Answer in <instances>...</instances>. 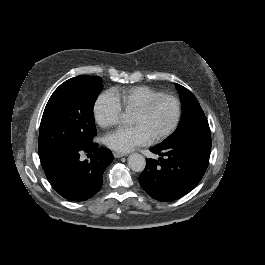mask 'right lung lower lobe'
<instances>
[{
    "mask_svg": "<svg viewBox=\"0 0 265 265\" xmlns=\"http://www.w3.org/2000/svg\"><path fill=\"white\" fill-rule=\"evenodd\" d=\"M82 150L93 153L90 161L79 160ZM82 150L56 149L39 156L51 186L70 201H84L96 194L102 187L103 172L113 160L111 151L97 144Z\"/></svg>",
    "mask_w": 265,
    "mask_h": 265,
    "instance_id": "right-lung-lower-lobe-1",
    "label": "right lung lower lobe"
}]
</instances>
